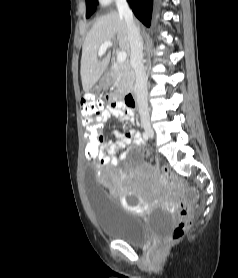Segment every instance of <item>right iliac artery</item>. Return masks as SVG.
<instances>
[{
  "mask_svg": "<svg viewBox=\"0 0 238 278\" xmlns=\"http://www.w3.org/2000/svg\"><path fill=\"white\" fill-rule=\"evenodd\" d=\"M142 136H143V139H144L145 141H147V140H148V135H147V133H146V132H143Z\"/></svg>",
  "mask_w": 238,
  "mask_h": 278,
  "instance_id": "obj_1",
  "label": "right iliac artery"
}]
</instances>
